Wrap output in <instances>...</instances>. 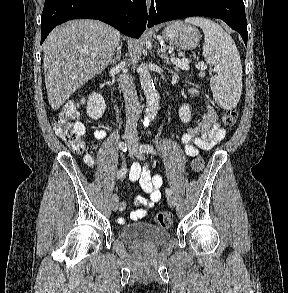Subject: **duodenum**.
Returning a JSON list of instances; mask_svg holds the SVG:
<instances>
[{
	"label": "duodenum",
	"mask_w": 288,
	"mask_h": 293,
	"mask_svg": "<svg viewBox=\"0 0 288 293\" xmlns=\"http://www.w3.org/2000/svg\"><path fill=\"white\" fill-rule=\"evenodd\" d=\"M110 94H111V97H112V101L114 103H116L117 100H118V96H117V94L115 92V89L113 87L110 88Z\"/></svg>",
	"instance_id": "1"
}]
</instances>
